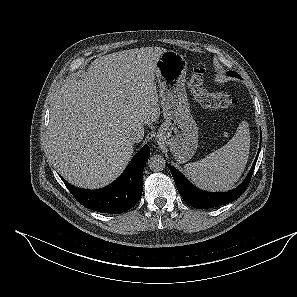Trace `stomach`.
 <instances>
[{
  "label": "stomach",
  "mask_w": 297,
  "mask_h": 297,
  "mask_svg": "<svg viewBox=\"0 0 297 297\" xmlns=\"http://www.w3.org/2000/svg\"><path fill=\"white\" fill-rule=\"evenodd\" d=\"M186 72V60L172 50H166L155 65L164 117L157 141L166 145L179 163L187 162L196 153L199 136L185 90Z\"/></svg>",
  "instance_id": "stomach-1"
}]
</instances>
